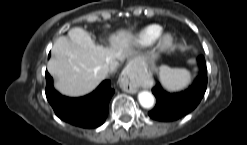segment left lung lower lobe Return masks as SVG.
Returning <instances> with one entry per match:
<instances>
[{"label": "left lung lower lobe", "mask_w": 247, "mask_h": 145, "mask_svg": "<svg viewBox=\"0 0 247 145\" xmlns=\"http://www.w3.org/2000/svg\"><path fill=\"white\" fill-rule=\"evenodd\" d=\"M200 73L192 86L179 93H167L158 83L152 92L156 97V105L148 114L160 121H173L188 114L201 101L207 87V68L203 56L198 57Z\"/></svg>", "instance_id": "obj_1"}]
</instances>
